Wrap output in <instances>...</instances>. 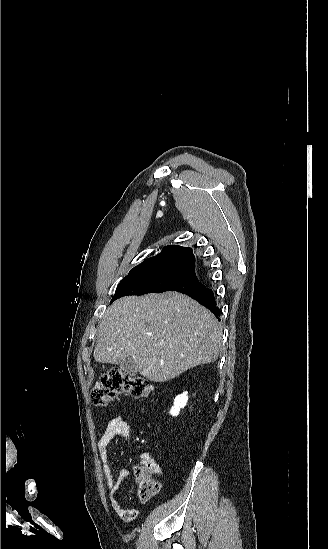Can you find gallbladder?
I'll return each mask as SVG.
<instances>
[{
	"instance_id": "obj_1",
	"label": "gallbladder",
	"mask_w": 328,
	"mask_h": 549,
	"mask_svg": "<svg viewBox=\"0 0 328 549\" xmlns=\"http://www.w3.org/2000/svg\"><path fill=\"white\" fill-rule=\"evenodd\" d=\"M120 369L125 371L126 375H130V377H135V375H137V367L133 357H127L125 361H122V363H120Z\"/></svg>"
}]
</instances>
